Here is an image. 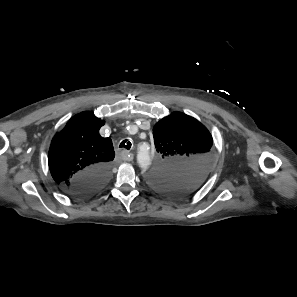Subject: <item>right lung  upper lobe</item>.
I'll return each instance as SVG.
<instances>
[{
  "instance_id": "cb5924a9",
  "label": "right lung upper lobe",
  "mask_w": 297,
  "mask_h": 297,
  "mask_svg": "<svg viewBox=\"0 0 297 297\" xmlns=\"http://www.w3.org/2000/svg\"><path fill=\"white\" fill-rule=\"evenodd\" d=\"M104 123L93 112H82L72 117L53 138L48 161L58 184L68 189L77 174L94 166L111 165L115 156L112 141L99 134Z\"/></svg>"
}]
</instances>
